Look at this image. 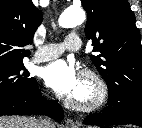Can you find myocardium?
I'll list each match as a JSON object with an SVG mask.
<instances>
[{
  "label": "myocardium",
  "instance_id": "obj_1",
  "mask_svg": "<svg viewBox=\"0 0 142 128\" xmlns=\"http://www.w3.org/2000/svg\"><path fill=\"white\" fill-rule=\"evenodd\" d=\"M82 81L89 86L90 96L81 100L75 96L68 98L67 104L79 111L91 112L101 108L108 99V87L102 76L92 69L82 71Z\"/></svg>",
  "mask_w": 142,
  "mask_h": 128
}]
</instances>
